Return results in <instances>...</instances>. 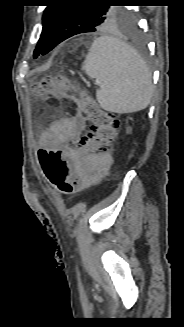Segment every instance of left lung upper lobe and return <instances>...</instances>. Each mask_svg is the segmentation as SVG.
Returning <instances> with one entry per match:
<instances>
[{
    "label": "left lung upper lobe",
    "instance_id": "5c2ea615",
    "mask_svg": "<svg viewBox=\"0 0 184 327\" xmlns=\"http://www.w3.org/2000/svg\"><path fill=\"white\" fill-rule=\"evenodd\" d=\"M66 4L49 5L43 14V29L34 58L38 57L48 44L58 22L63 18L65 28L75 33L95 32L97 29L118 25L129 28L133 26L131 11L124 7L108 5H87L82 0L65 1Z\"/></svg>",
    "mask_w": 184,
    "mask_h": 327
}]
</instances>
